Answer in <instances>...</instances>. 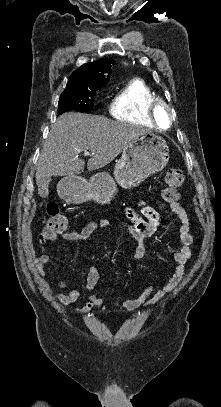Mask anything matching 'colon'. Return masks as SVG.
<instances>
[{
    "label": "colon",
    "instance_id": "5ec220e1",
    "mask_svg": "<svg viewBox=\"0 0 221 407\" xmlns=\"http://www.w3.org/2000/svg\"><path fill=\"white\" fill-rule=\"evenodd\" d=\"M184 180L185 176L181 169L170 168L166 171L165 186L161 190V197L165 203L174 205L179 202L181 198L179 190ZM44 222L45 227L40 238L45 241L53 240L67 229V218L59 213L58 207L54 203L47 205Z\"/></svg>",
    "mask_w": 221,
    "mask_h": 407
}]
</instances>
